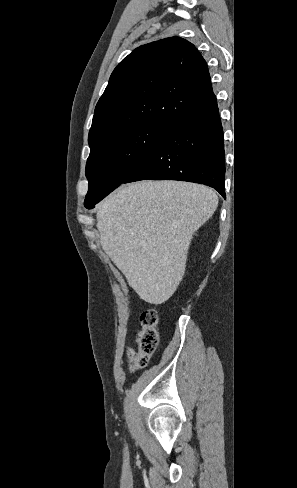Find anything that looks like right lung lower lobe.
<instances>
[{"label": "right lung lower lobe", "mask_w": 297, "mask_h": 488, "mask_svg": "<svg viewBox=\"0 0 297 488\" xmlns=\"http://www.w3.org/2000/svg\"><path fill=\"white\" fill-rule=\"evenodd\" d=\"M223 128L217 101L173 124L123 181L166 179L205 184L223 197Z\"/></svg>", "instance_id": "obj_1"}]
</instances>
